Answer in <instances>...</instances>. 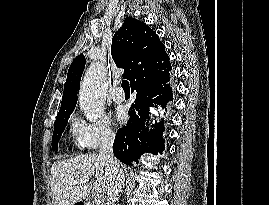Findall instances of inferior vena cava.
<instances>
[{"label":"inferior vena cava","instance_id":"602c4592","mask_svg":"<svg viewBox=\"0 0 269 205\" xmlns=\"http://www.w3.org/2000/svg\"><path fill=\"white\" fill-rule=\"evenodd\" d=\"M114 138V133L111 130H106L102 136V143L99 149V156L106 161L112 177L107 189L106 205H115L116 198L122 192L125 182L123 169L113 154Z\"/></svg>","mask_w":269,"mask_h":205}]
</instances>
